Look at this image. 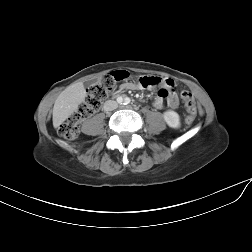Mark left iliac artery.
Segmentation results:
<instances>
[{
  "label": "left iliac artery",
  "instance_id": "1",
  "mask_svg": "<svg viewBox=\"0 0 252 252\" xmlns=\"http://www.w3.org/2000/svg\"><path fill=\"white\" fill-rule=\"evenodd\" d=\"M130 101H131L130 98L126 97V98L124 99V104L127 105V104L130 103Z\"/></svg>",
  "mask_w": 252,
  "mask_h": 252
}]
</instances>
